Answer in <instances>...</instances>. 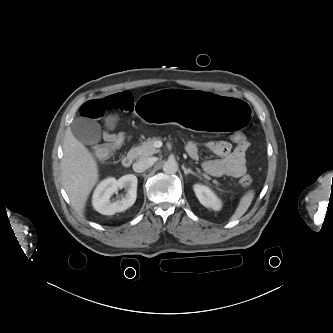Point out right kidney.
<instances>
[{
	"instance_id": "right-kidney-1",
	"label": "right kidney",
	"mask_w": 333,
	"mask_h": 333,
	"mask_svg": "<svg viewBox=\"0 0 333 333\" xmlns=\"http://www.w3.org/2000/svg\"><path fill=\"white\" fill-rule=\"evenodd\" d=\"M137 183V177L132 174L124 175L118 180L113 177L103 180L93 193L94 209L103 215H113L128 209L136 201ZM122 188L126 190V194L122 199L112 201L111 196Z\"/></svg>"
}]
</instances>
